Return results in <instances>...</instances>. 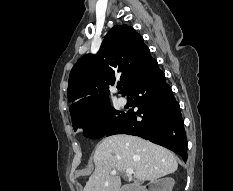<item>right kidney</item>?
Masks as SVG:
<instances>
[{"mask_svg": "<svg viewBox=\"0 0 233 191\" xmlns=\"http://www.w3.org/2000/svg\"><path fill=\"white\" fill-rule=\"evenodd\" d=\"M157 189L154 191H172L174 186V179L171 177L162 178L156 181Z\"/></svg>", "mask_w": 233, "mask_h": 191, "instance_id": "obj_1", "label": "right kidney"}]
</instances>
